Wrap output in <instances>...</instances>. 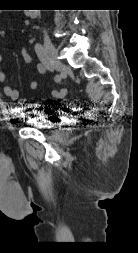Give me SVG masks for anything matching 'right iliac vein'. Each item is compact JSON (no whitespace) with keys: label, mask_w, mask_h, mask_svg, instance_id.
I'll use <instances>...</instances> for the list:
<instances>
[{"label":"right iliac vein","mask_w":138,"mask_h":253,"mask_svg":"<svg viewBox=\"0 0 138 253\" xmlns=\"http://www.w3.org/2000/svg\"><path fill=\"white\" fill-rule=\"evenodd\" d=\"M44 47H45V50L53 63L55 69L57 71H60L62 68V63L60 62V60L58 58V51H57L55 45L52 43V41L49 38H45Z\"/></svg>","instance_id":"63e3f726"}]
</instances>
